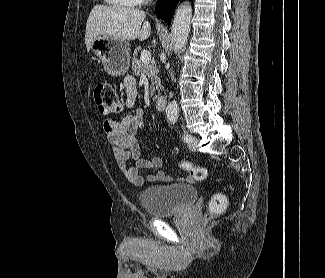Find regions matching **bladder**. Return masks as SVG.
Wrapping results in <instances>:
<instances>
[{
	"label": "bladder",
	"instance_id": "1",
	"mask_svg": "<svg viewBox=\"0 0 325 278\" xmlns=\"http://www.w3.org/2000/svg\"><path fill=\"white\" fill-rule=\"evenodd\" d=\"M197 197V188L184 183L149 186L139 193V201L151 217L183 212L195 203Z\"/></svg>",
	"mask_w": 325,
	"mask_h": 278
}]
</instances>
